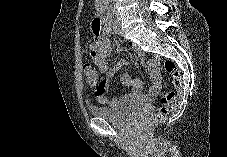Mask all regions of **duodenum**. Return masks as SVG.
Returning a JSON list of instances; mask_svg holds the SVG:
<instances>
[{
  "label": "duodenum",
  "instance_id": "1",
  "mask_svg": "<svg viewBox=\"0 0 227 157\" xmlns=\"http://www.w3.org/2000/svg\"><path fill=\"white\" fill-rule=\"evenodd\" d=\"M108 23L103 14L97 16L94 25H90V30H107Z\"/></svg>",
  "mask_w": 227,
  "mask_h": 157
}]
</instances>
